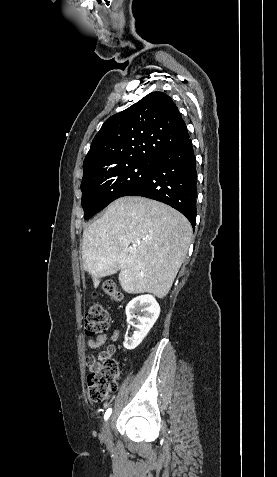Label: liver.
<instances>
[{
    "instance_id": "6515ba94",
    "label": "liver",
    "mask_w": 277,
    "mask_h": 477,
    "mask_svg": "<svg viewBox=\"0 0 277 477\" xmlns=\"http://www.w3.org/2000/svg\"><path fill=\"white\" fill-rule=\"evenodd\" d=\"M190 222L174 208L144 197H122L83 232V267L96 286L119 273L127 293L165 297L186 257Z\"/></svg>"
}]
</instances>
